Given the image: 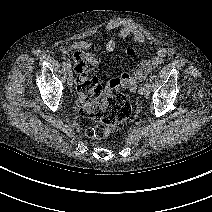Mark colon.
<instances>
[{
    "label": "colon",
    "instance_id": "obj_1",
    "mask_svg": "<svg viewBox=\"0 0 212 212\" xmlns=\"http://www.w3.org/2000/svg\"><path fill=\"white\" fill-rule=\"evenodd\" d=\"M73 59L80 114L94 122L87 129V135L97 140L105 139L116 132L132 113L131 103L119 87L137 88L142 84L143 78L125 73L120 78L113 79L103 90L94 74L99 63L97 55L77 51Z\"/></svg>",
    "mask_w": 212,
    "mask_h": 212
}]
</instances>
